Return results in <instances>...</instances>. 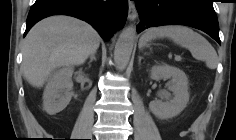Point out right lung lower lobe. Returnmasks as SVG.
I'll return each mask as SVG.
<instances>
[{
	"instance_id": "98d812e1",
	"label": "right lung lower lobe",
	"mask_w": 236,
	"mask_h": 140,
	"mask_svg": "<svg viewBox=\"0 0 236 140\" xmlns=\"http://www.w3.org/2000/svg\"><path fill=\"white\" fill-rule=\"evenodd\" d=\"M127 0H36L27 17L24 36L39 20L51 15H70L90 23L108 40L126 22Z\"/></svg>"
}]
</instances>
